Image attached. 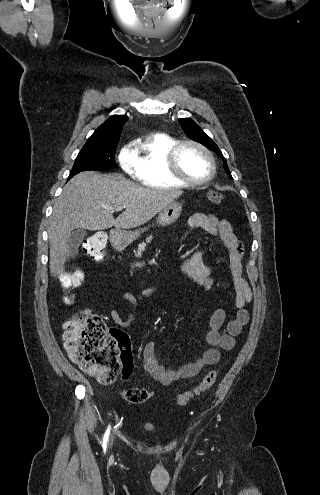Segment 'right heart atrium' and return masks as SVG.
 I'll return each instance as SVG.
<instances>
[{"label": "right heart atrium", "mask_w": 320, "mask_h": 495, "mask_svg": "<svg viewBox=\"0 0 320 495\" xmlns=\"http://www.w3.org/2000/svg\"><path fill=\"white\" fill-rule=\"evenodd\" d=\"M118 161L125 172L136 177L137 159L132 144L129 143L120 150Z\"/></svg>", "instance_id": "d8ad5b80"}]
</instances>
